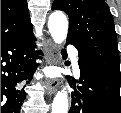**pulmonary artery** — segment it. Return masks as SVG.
<instances>
[{
  "label": "pulmonary artery",
  "mask_w": 121,
  "mask_h": 113,
  "mask_svg": "<svg viewBox=\"0 0 121 113\" xmlns=\"http://www.w3.org/2000/svg\"><path fill=\"white\" fill-rule=\"evenodd\" d=\"M70 51H71V54H72V57H73V60H74L73 65H72L73 70L77 75H79L80 74V68H79V65H78V62H77V59H76V50H75V48H71Z\"/></svg>",
  "instance_id": "obj_1"
}]
</instances>
